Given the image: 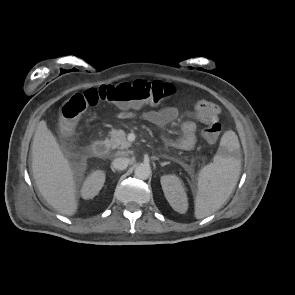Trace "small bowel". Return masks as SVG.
Wrapping results in <instances>:
<instances>
[{
	"mask_svg": "<svg viewBox=\"0 0 295 295\" xmlns=\"http://www.w3.org/2000/svg\"><path fill=\"white\" fill-rule=\"evenodd\" d=\"M194 113L200 122L209 124L218 121L221 113L220 107L207 100H199L194 104ZM178 116V109L174 106L164 107L159 110H151L143 113H137L134 108H120L116 117L118 119L141 118L156 125H164L172 122ZM196 142V125L192 121L185 122L181 127V136L175 141H169V144L182 150H190Z\"/></svg>",
	"mask_w": 295,
	"mask_h": 295,
	"instance_id": "1",
	"label": "small bowel"
}]
</instances>
